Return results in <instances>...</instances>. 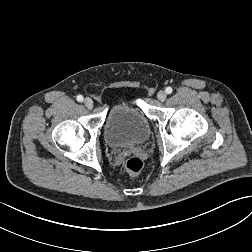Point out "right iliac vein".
I'll return each mask as SVG.
<instances>
[{
  "instance_id": "63e3f726",
  "label": "right iliac vein",
  "mask_w": 252,
  "mask_h": 252,
  "mask_svg": "<svg viewBox=\"0 0 252 252\" xmlns=\"http://www.w3.org/2000/svg\"><path fill=\"white\" fill-rule=\"evenodd\" d=\"M83 103L88 109H91L93 107V101L91 98H85Z\"/></svg>"
}]
</instances>
